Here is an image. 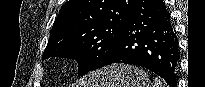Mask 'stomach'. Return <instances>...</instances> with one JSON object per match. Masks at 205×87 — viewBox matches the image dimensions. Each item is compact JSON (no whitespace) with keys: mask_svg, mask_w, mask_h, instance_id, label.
I'll return each instance as SVG.
<instances>
[{"mask_svg":"<svg viewBox=\"0 0 205 87\" xmlns=\"http://www.w3.org/2000/svg\"><path fill=\"white\" fill-rule=\"evenodd\" d=\"M80 87H150V79L144 70L120 64L92 72Z\"/></svg>","mask_w":205,"mask_h":87,"instance_id":"0dacf381","label":"stomach"}]
</instances>
